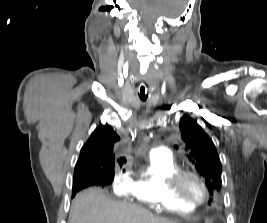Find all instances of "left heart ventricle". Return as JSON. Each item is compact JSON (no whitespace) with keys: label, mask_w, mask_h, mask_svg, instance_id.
I'll return each instance as SVG.
<instances>
[{"label":"left heart ventricle","mask_w":267,"mask_h":223,"mask_svg":"<svg viewBox=\"0 0 267 223\" xmlns=\"http://www.w3.org/2000/svg\"><path fill=\"white\" fill-rule=\"evenodd\" d=\"M185 192L192 198L202 197L203 190L200 184L193 178H187L184 183Z\"/></svg>","instance_id":"1"}]
</instances>
